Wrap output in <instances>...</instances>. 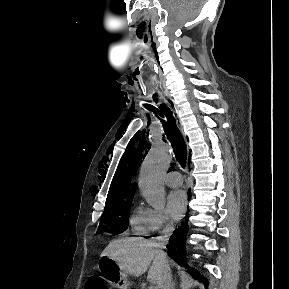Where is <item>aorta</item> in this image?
<instances>
[{"mask_svg":"<svg viewBox=\"0 0 289 289\" xmlns=\"http://www.w3.org/2000/svg\"><path fill=\"white\" fill-rule=\"evenodd\" d=\"M171 158L169 146L157 140L152 144L141 166L138 186L146 202L155 208L165 205L162 176L167 171Z\"/></svg>","mask_w":289,"mask_h":289,"instance_id":"762f6f07","label":"aorta"}]
</instances>
